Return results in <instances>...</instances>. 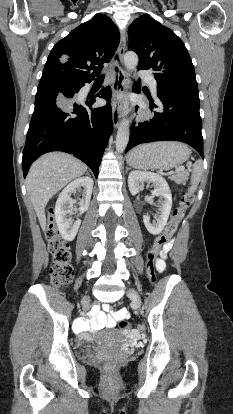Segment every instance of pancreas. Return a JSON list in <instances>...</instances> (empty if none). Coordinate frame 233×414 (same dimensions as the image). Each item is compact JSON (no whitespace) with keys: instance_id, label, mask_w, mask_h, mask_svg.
Masks as SVG:
<instances>
[{"instance_id":"cf45deb5","label":"pancreas","mask_w":233,"mask_h":414,"mask_svg":"<svg viewBox=\"0 0 233 414\" xmlns=\"http://www.w3.org/2000/svg\"><path fill=\"white\" fill-rule=\"evenodd\" d=\"M174 181L181 183L187 179V173L185 171L178 172L175 176L171 177Z\"/></svg>"}]
</instances>
